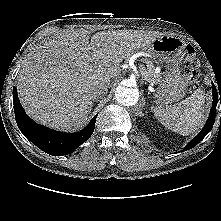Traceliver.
Wrapping results in <instances>:
<instances>
[{
	"instance_id": "liver-1",
	"label": "liver",
	"mask_w": 221,
	"mask_h": 221,
	"mask_svg": "<svg viewBox=\"0 0 221 221\" xmlns=\"http://www.w3.org/2000/svg\"><path fill=\"white\" fill-rule=\"evenodd\" d=\"M69 30L36 46L18 73V95L26 113L42 125L68 130L82 126L96 89L110 85L120 63L161 34L142 30Z\"/></svg>"
}]
</instances>
